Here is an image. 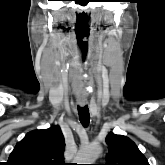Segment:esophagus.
Instances as JSON below:
<instances>
[{
    "instance_id": "obj_1",
    "label": "esophagus",
    "mask_w": 165,
    "mask_h": 165,
    "mask_svg": "<svg viewBox=\"0 0 165 165\" xmlns=\"http://www.w3.org/2000/svg\"><path fill=\"white\" fill-rule=\"evenodd\" d=\"M77 103H78L80 106H85L86 103H87V101H86V99H78V100H77Z\"/></svg>"
}]
</instances>
